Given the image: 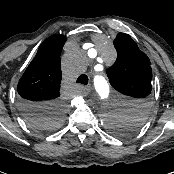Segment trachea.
I'll list each match as a JSON object with an SVG mask.
<instances>
[{
  "mask_svg": "<svg viewBox=\"0 0 174 174\" xmlns=\"http://www.w3.org/2000/svg\"><path fill=\"white\" fill-rule=\"evenodd\" d=\"M76 82L84 84V85H87L88 84V77H87V75H85V74L80 75Z\"/></svg>",
  "mask_w": 174,
  "mask_h": 174,
  "instance_id": "1",
  "label": "trachea"
}]
</instances>
